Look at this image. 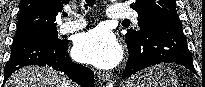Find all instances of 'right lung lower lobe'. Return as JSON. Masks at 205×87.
Wrapping results in <instances>:
<instances>
[{
    "mask_svg": "<svg viewBox=\"0 0 205 87\" xmlns=\"http://www.w3.org/2000/svg\"><path fill=\"white\" fill-rule=\"evenodd\" d=\"M69 41L55 43L41 38L14 40L11 56L4 69V81L16 70L27 65L49 66L61 71L82 87H94V73L72 62L67 53Z\"/></svg>",
    "mask_w": 205,
    "mask_h": 87,
    "instance_id": "obj_1",
    "label": "right lung lower lobe"
}]
</instances>
